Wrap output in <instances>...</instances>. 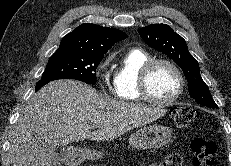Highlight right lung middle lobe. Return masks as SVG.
<instances>
[{
  "label": "right lung middle lobe",
  "mask_w": 231,
  "mask_h": 166,
  "mask_svg": "<svg viewBox=\"0 0 231 166\" xmlns=\"http://www.w3.org/2000/svg\"><path fill=\"white\" fill-rule=\"evenodd\" d=\"M104 56L57 50L49 59L41 80L75 79L96 84V69Z\"/></svg>",
  "instance_id": "right-lung-middle-lobe-1"
}]
</instances>
